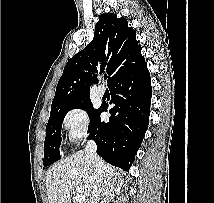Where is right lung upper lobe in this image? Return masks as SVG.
I'll use <instances>...</instances> for the list:
<instances>
[{"mask_svg":"<svg viewBox=\"0 0 214 203\" xmlns=\"http://www.w3.org/2000/svg\"><path fill=\"white\" fill-rule=\"evenodd\" d=\"M136 32L125 18L105 13L95 26L94 38L85 49L68 60L58 81L51 111L89 97L97 74L109 75L108 86L145 62Z\"/></svg>","mask_w":214,"mask_h":203,"instance_id":"cb5924a9","label":"right lung upper lobe"}]
</instances>
